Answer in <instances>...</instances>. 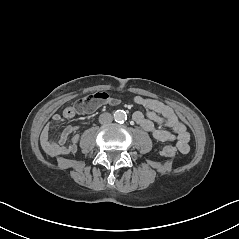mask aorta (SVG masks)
I'll use <instances>...</instances> for the list:
<instances>
[{
	"instance_id": "aorta-1",
	"label": "aorta",
	"mask_w": 239,
	"mask_h": 239,
	"mask_svg": "<svg viewBox=\"0 0 239 239\" xmlns=\"http://www.w3.org/2000/svg\"><path fill=\"white\" fill-rule=\"evenodd\" d=\"M113 116L114 120L119 123L124 122L127 119V114L124 110L115 111Z\"/></svg>"
}]
</instances>
